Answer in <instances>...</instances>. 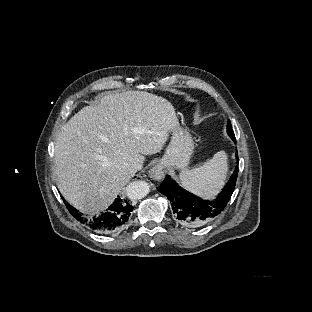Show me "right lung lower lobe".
<instances>
[{"label": "right lung lower lobe", "mask_w": 312, "mask_h": 312, "mask_svg": "<svg viewBox=\"0 0 312 312\" xmlns=\"http://www.w3.org/2000/svg\"><path fill=\"white\" fill-rule=\"evenodd\" d=\"M63 201L66 204L70 213L78 221L83 223L92 231L101 234H110L120 229L123 225H125L128 222L131 212L133 211V207L128 203V201L118 196L113 202V204L109 206V208L105 213H102L98 217H93L91 219L90 217H87L82 213H79L68 203H66L64 199Z\"/></svg>", "instance_id": "1"}]
</instances>
